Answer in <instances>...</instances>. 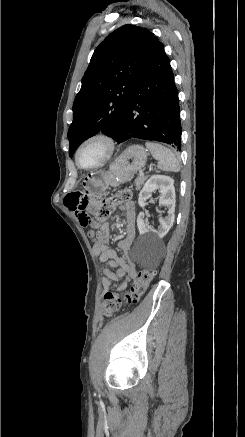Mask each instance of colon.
<instances>
[{
    "mask_svg": "<svg viewBox=\"0 0 245 437\" xmlns=\"http://www.w3.org/2000/svg\"><path fill=\"white\" fill-rule=\"evenodd\" d=\"M129 197L130 193L127 190H123L111 198L102 199L94 210V219L98 222L105 221L109 217L114 203L126 202ZM89 234L91 237L94 236V232L92 231ZM154 276L155 271L153 269L146 268L139 272L132 286L123 294L107 291L104 294V301L102 305L104 317H112L120 310L123 304H136L148 289L149 285L154 279Z\"/></svg>",
    "mask_w": 245,
    "mask_h": 437,
    "instance_id": "colon-1",
    "label": "colon"
}]
</instances>
